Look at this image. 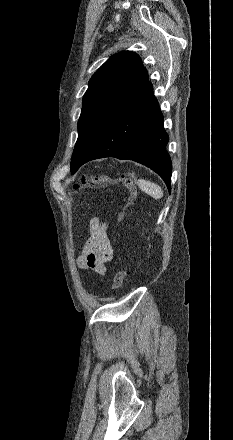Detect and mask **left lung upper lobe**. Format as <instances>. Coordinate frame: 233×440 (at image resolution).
Wrapping results in <instances>:
<instances>
[{"label": "left lung upper lobe", "mask_w": 233, "mask_h": 440, "mask_svg": "<svg viewBox=\"0 0 233 440\" xmlns=\"http://www.w3.org/2000/svg\"><path fill=\"white\" fill-rule=\"evenodd\" d=\"M148 83L140 57L131 51L111 56L91 77L83 97L78 139L71 158L75 172L123 108Z\"/></svg>", "instance_id": "1"}]
</instances>
